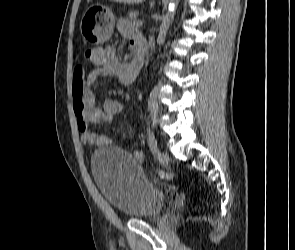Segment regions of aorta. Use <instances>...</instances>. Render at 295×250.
Here are the masks:
<instances>
[{
	"instance_id": "obj_1",
	"label": "aorta",
	"mask_w": 295,
	"mask_h": 250,
	"mask_svg": "<svg viewBox=\"0 0 295 250\" xmlns=\"http://www.w3.org/2000/svg\"><path fill=\"white\" fill-rule=\"evenodd\" d=\"M179 1L180 0H170L168 14L163 17L162 24L160 25V28H159V33L157 37L158 45H161L165 41L166 34L170 26V22L175 15Z\"/></svg>"
}]
</instances>
